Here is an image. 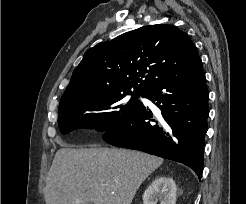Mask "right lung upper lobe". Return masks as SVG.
<instances>
[{
  "mask_svg": "<svg viewBox=\"0 0 246 204\" xmlns=\"http://www.w3.org/2000/svg\"><path fill=\"white\" fill-rule=\"evenodd\" d=\"M200 59L189 37L172 25H148L85 52L60 104L126 92L144 93Z\"/></svg>",
  "mask_w": 246,
  "mask_h": 204,
  "instance_id": "right-lung-upper-lobe-1",
  "label": "right lung upper lobe"
}]
</instances>
